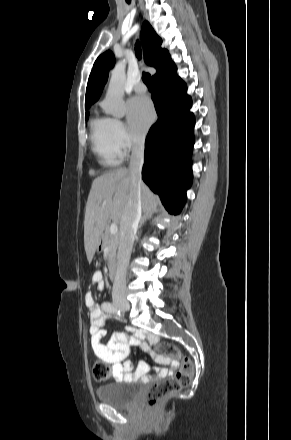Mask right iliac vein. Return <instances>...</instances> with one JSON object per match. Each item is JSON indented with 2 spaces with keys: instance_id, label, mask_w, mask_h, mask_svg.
<instances>
[{
  "instance_id": "1",
  "label": "right iliac vein",
  "mask_w": 291,
  "mask_h": 440,
  "mask_svg": "<svg viewBox=\"0 0 291 440\" xmlns=\"http://www.w3.org/2000/svg\"><path fill=\"white\" fill-rule=\"evenodd\" d=\"M118 306L123 311H129L130 310V304L127 301L119 302Z\"/></svg>"
}]
</instances>
